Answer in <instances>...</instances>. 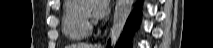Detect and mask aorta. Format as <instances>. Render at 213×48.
Returning a JSON list of instances; mask_svg holds the SVG:
<instances>
[{"label": "aorta", "instance_id": "762f6f07", "mask_svg": "<svg viewBox=\"0 0 213 48\" xmlns=\"http://www.w3.org/2000/svg\"><path fill=\"white\" fill-rule=\"evenodd\" d=\"M134 0H117L110 29L111 46H115L131 13Z\"/></svg>", "mask_w": 213, "mask_h": 48}]
</instances>
